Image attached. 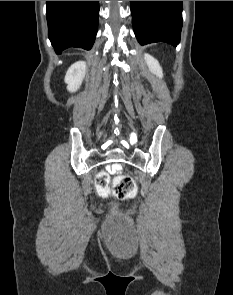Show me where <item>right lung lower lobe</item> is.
I'll return each mask as SVG.
<instances>
[{
	"instance_id": "right-lung-lower-lobe-1",
	"label": "right lung lower lobe",
	"mask_w": 233,
	"mask_h": 295,
	"mask_svg": "<svg viewBox=\"0 0 233 295\" xmlns=\"http://www.w3.org/2000/svg\"><path fill=\"white\" fill-rule=\"evenodd\" d=\"M99 1H46L48 37L57 54L69 47L91 49L98 27Z\"/></svg>"
}]
</instances>
